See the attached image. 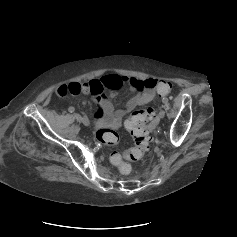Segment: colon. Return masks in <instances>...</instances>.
Masks as SVG:
<instances>
[{
	"label": "colon",
	"instance_id": "obj_1",
	"mask_svg": "<svg viewBox=\"0 0 237 237\" xmlns=\"http://www.w3.org/2000/svg\"><path fill=\"white\" fill-rule=\"evenodd\" d=\"M158 93L166 96L172 91V84L168 81H158L156 84ZM155 123V114L152 109H141L134 111L126 121V128L134 140V146L131 149L119 153L111 150L109 160L118 169L126 174L130 171L131 161L139 160L148 148L150 142L149 128ZM98 142L107 146H115L119 142V136L116 131L109 128H100L96 132Z\"/></svg>",
	"mask_w": 237,
	"mask_h": 237
}]
</instances>
